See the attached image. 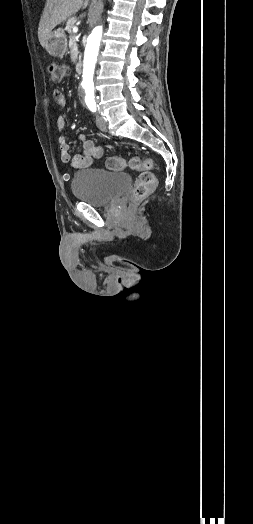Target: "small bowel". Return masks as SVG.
<instances>
[{"label": "small bowel", "mask_w": 253, "mask_h": 524, "mask_svg": "<svg viewBox=\"0 0 253 524\" xmlns=\"http://www.w3.org/2000/svg\"><path fill=\"white\" fill-rule=\"evenodd\" d=\"M54 98L58 103L60 108H65L67 105V100L63 93L59 90L54 91ZM65 128V119L62 116H59L56 122L57 132L60 134L58 139L60 146V157L62 162L68 164L73 169H85L89 167L93 160L99 159L103 156V148L99 145H96L92 140H90L87 135L80 134L78 136L79 141L82 144V153L71 156L70 146L62 133Z\"/></svg>", "instance_id": "small-bowel-1"}]
</instances>
